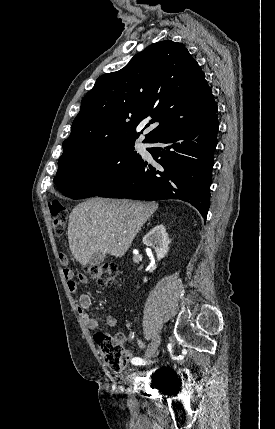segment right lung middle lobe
<instances>
[{
	"label": "right lung middle lobe",
	"instance_id": "obj_1",
	"mask_svg": "<svg viewBox=\"0 0 275 429\" xmlns=\"http://www.w3.org/2000/svg\"><path fill=\"white\" fill-rule=\"evenodd\" d=\"M134 141L119 142L85 153L59 166L54 183L72 199L97 196L141 161Z\"/></svg>",
	"mask_w": 275,
	"mask_h": 429
}]
</instances>
